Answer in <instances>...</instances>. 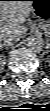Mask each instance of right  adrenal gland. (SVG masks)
Segmentation results:
<instances>
[{
    "label": "right adrenal gland",
    "mask_w": 50,
    "mask_h": 111,
    "mask_svg": "<svg viewBox=\"0 0 50 111\" xmlns=\"http://www.w3.org/2000/svg\"><path fill=\"white\" fill-rule=\"evenodd\" d=\"M9 46H10L9 44H2V45H1V49H2L3 47H5L6 49H8Z\"/></svg>",
    "instance_id": "right-adrenal-gland-1"
}]
</instances>
